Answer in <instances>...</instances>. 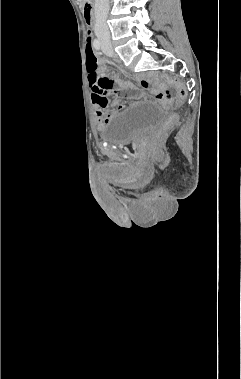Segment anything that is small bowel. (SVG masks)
<instances>
[{
  "instance_id": "small-bowel-1",
  "label": "small bowel",
  "mask_w": 241,
  "mask_h": 379,
  "mask_svg": "<svg viewBox=\"0 0 241 379\" xmlns=\"http://www.w3.org/2000/svg\"><path fill=\"white\" fill-rule=\"evenodd\" d=\"M87 40L91 41V38L88 37ZM101 78L105 80H110L103 75H100ZM114 84L119 87V91L124 94H129L134 90V84L132 82H127L121 80L119 77H115L111 80ZM90 84V82H89ZM140 84L142 87L147 88L149 82L145 79H140ZM113 92V90H108L105 94L99 95L94 89H92V102L94 105L97 121L99 125L105 124L111 117V111L109 110L110 105H115V100H109L107 94ZM123 106L119 105L117 109H122Z\"/></svg>"
}]
</instances>
